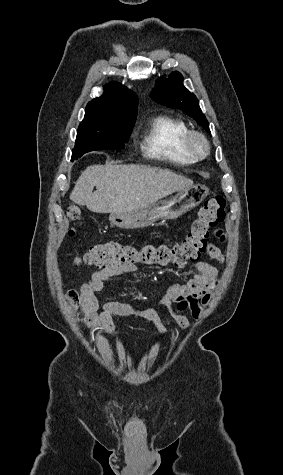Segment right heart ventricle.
<instances>
[{"label": "right heart ventricle", "mask_w": 283, "mask_h": 475, "mask_svg": "<svg viewBox=\"0 0 283 475\" xmlns=\"http://www.w3.org/2000/svg\"><path fill=\"white\" fill-rule=\"evenodd\" d=\"M190 130L187 123L178 117L169 114H156L137 128L141 139V147L145 153L154 158H162L161 153L165 146L176 151L178 159L170 162H198L199 159L188 156L183 151H177L183 136Z\"/></svg>", "instance_id": "e07e8e85"}]
</instances>
